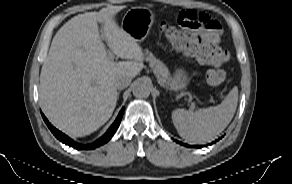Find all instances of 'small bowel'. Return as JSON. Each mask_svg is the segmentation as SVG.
Listing matches in <instances>:
<instances>
[{
	"label": "small bowel",
	"instance_id": "c3829d8e",
	"mask_svg": "<svg viewBox=\"0 0 292 184\" xmlns=\"http://www.w3.org/2000/svg\"><path fill=\"white\" fill-rule=\"evenodd\" d=\"M195 33L201 36L205 41L217 44L220 42L221 26L219 24L218 29L202 28Z\"/></svg>",
	"mask_w": 292,
	"mask_h": 184
}]
</instances>
